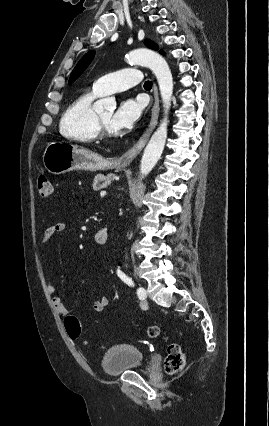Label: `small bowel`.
Masks as SVG:
<instances>
[{"mask_svg":"<svg viewBox=\"0 0 269 426\" xmlns=\"http://www.w3.org/2000/svg\"><path fill=\"white\" fill-rule=\"evenodd\" d=\"M66 228V224L64 222H55L51 226H49L46 231L44 232V235L42 237V245L47 246L49 242L58 234H61L64 232ZM47 291L50 295H53L52 302L53 305L57 311V313L64 317L67 315V309L64 303V300L60 297L55 295L56 288L53 284L52 278L50 276L47 277ZM109 305V300L105 296H99L96 298L93 302V309L96 313H102Z\"/></svg>","mask_w":269,"mask_h":426,"instance_id":"1","label":"small bowel"}]
</instances>
